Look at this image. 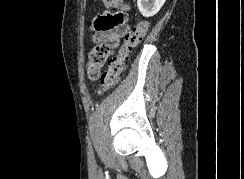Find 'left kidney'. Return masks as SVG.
Instances as JSON below:
<instances>
[{"label": "left kidney", "mask_w": 244, "mask_h": 179, "mask_svg": "<svg viewBox=\"0 0 244 179\" xmlns=\"http://www.w3.org/2000/svg\"><path fill=\"white\" fill-rule=\"evenodd\" d=\"M165 2L166 0H137V6L142 16L151 18V16L158 14Z\"/></svg>", "instance_id": "obj_1"}]
</instances>
